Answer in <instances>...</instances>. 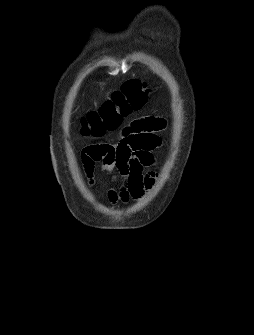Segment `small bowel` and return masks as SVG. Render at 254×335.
<instances>
[{
  "mask_svg": "<svg viewBox=\"0 0 254 335\" xmlns=\"http://www.w3.org/2000/svg\"><path fill=\"white\" fill-rule=\"evenodd\" d=\"M161 127V123L154 118L141 119L132 125L123 124L119 134L127 136H120L117 146L95 144L82 150V164L90 182L94 180L97 162L102 163L105 174L116 171L117 176L127 181L120 189H109L108 198L111 202L136 200L152 185L154 174L144 173V169L155 164L153 152L163 144L158 134Z\"/></svg>",
  "mask_w": 254,
  "mask_h": 335,
  "instance_id": "1",
  "label": "small bowel"
}]
</instances>
